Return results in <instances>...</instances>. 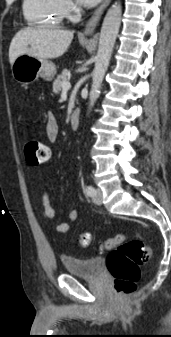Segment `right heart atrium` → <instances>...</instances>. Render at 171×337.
I'll list each match as a JSON object with an SVG mask.
<instances>
[{
	"label": "right heart atrium",
	"mask_w": 171,
	"mask_h": 337,
	"mask_svg": "<svg viewBox=\"0 0 171 337\" xmlns=\"http://www.w3.org/2000/svg\"><path fill=\"white\" fill-rule=\"evenodd\" d=\"M62 8L65 16L69 19H73L77 13V6L72 0H61Z\"/></svg>",
	"instance_id": "1"
}]
</instances>
